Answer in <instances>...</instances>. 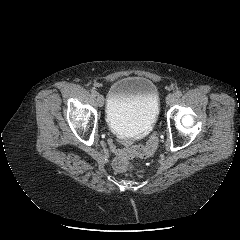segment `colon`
Masks as SVG:
<instances>
[{"mask_svg": "<svg viewBox=\"0 0 240 240\" xmlns=\"http://www.w3.org/2000/svg\"><path fill=\"white\" fill-rule=\"evenodd\" d=\"M157 136L153 135L146 145H136L123 150L113 161V167L117 172H127L135 168L132 163L134 157H146L151 155L157 146Z\"/></svg>", "mask_w": 240, "mask_h": 240, "instance_id": "colon-1", "label": "colon"}]
</instances>
